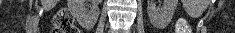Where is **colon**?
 Returning <instances> with one entry per match:
<instances>
[{"mask_svg": "<svg viewBox=\"0 0 235 33\" xmlns=\"http://www.w3.org/2000/svg\"><path fill=\"white\" fill-rule=\"evenodd\" d=\"M54 33H79L74 18L68 9H61L53 19ZM178 33H189V28L184 21L177 26Z\"/></svg>", "mask_w": 235, "mask_h": 33, "instance_id": "colon-1", "label": "colon"}]
</instances>
